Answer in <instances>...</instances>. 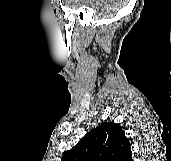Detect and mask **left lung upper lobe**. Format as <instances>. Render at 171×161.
<instances>
[{
  "mask_svg": "<svg viewBox=\"0 0 171 161\" xmlns=\"http://www.w3.org/2000/svg\"><path fill=\"white\" fill-rule=\"evenodd\" d=\"M129 139L120 124L104 122L91 130L61 161H131Z\"/></svg>",
  "mask_w": 171,
  "mask_h": 161,
  "instance_id": "obj_1",
  "label": "left lung upper lobe"
}]
</instances>
